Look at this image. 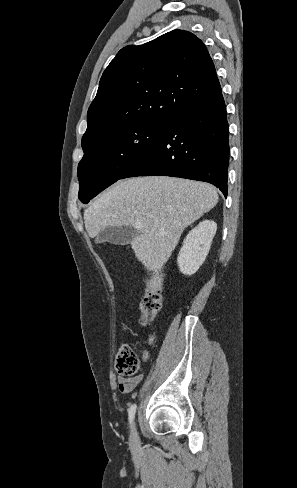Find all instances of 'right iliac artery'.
<instances>
[{
	"label": "right iliac artery",
	"mask_w": 297,
	"mask_h": 488,
	"mask_svg": "<svg viewBox=\"0 0 297 488\" xmlns=\"http://www.w3.org/2000/svg\"><path fill=\"white\" fill-rule=\"evenodd\" d=\"M135 412H136V404H133V405H131V407L128 410L130 424L132 423V421L134 419Z\"/></svg>",
	"instance_id": "82829eb1"
}]
</instances>
